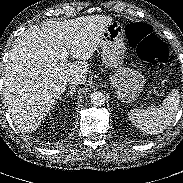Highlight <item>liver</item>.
Instances as JSON below:
<instances>
[{"label":"liver","instance_id":"6515ba94","mask_svg":"<svg viewBox=\"0 0 183 183\" xmlns=\"http://www.w3.org/2000/svg\"><path fill=\"white\" fill-rule=\"evenodd\" d=\"M111 16L90 15L61 22L34 25L16 38L5 67L3 94L12 120L21 131L32 132L41 124L67 86L72 74L84 83L89 64ZM65 48L73 58L61 61Z\"/></svg>","mask_w":183,"mask_h":183}]
</instances>
